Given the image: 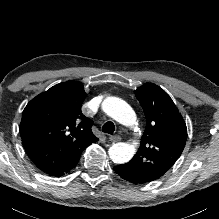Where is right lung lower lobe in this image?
<instances>
[{"instance_id": "obj_1", "label": "right lung lower lobe", "mask_w": 219, "mask_h": 219, "mask_svg": "<svg viewBox=\"0 0 219 219\" xmlns=\"http://www.w3.org/2000/svg\"><path fill=\"white\" fill-rule=\"evenodd\" d=\"M77 162L78 161L73 162L70 165L64 166V167L59 168V169L46 171L45 173H47L48 175L53 176V177H61L65 174H67L68 172H70L76 166Z\"/></svg>"}]
</instances>
